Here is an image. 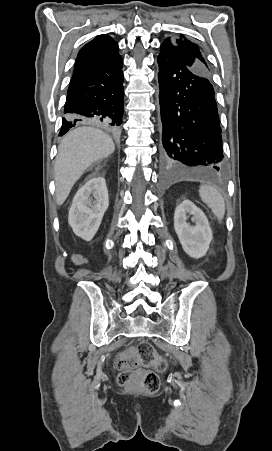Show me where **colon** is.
<instances>
[{
  "mask_svg": "<svg viewBox=\"0 0 272 451\" xmlns=\"http://www.w3.org/2000/svg\"><path fill=\"white\" fill-rule=\"evenodd\" d=\"M71 258L78 260L80 253L73 251ZM152 364L155 365L153 370L146 369L143 366ZM116 368L120 372L118 382L121 386H142L149 393H154L160 386L157 372L163 371L165 364L151 348L150 342H141L140 345L119 357Z\"/></svg>",
  "mask_w": 272,
  "mask_h": 451,
  "instance_id": "obj_1",
  "label": "colon"
}]
</instances>
